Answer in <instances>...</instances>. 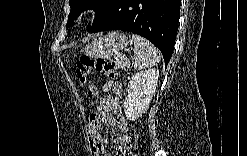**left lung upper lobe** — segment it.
Wrapping results in <instances>:
<instances>
[{
    "label": "left lung upper lobe",
    "instance_id": "left-lung-upper-lobe-1",
    "mask_svg": "<svg viewBox=\"0 0 247 156\" xmlns=\"http://www.w3.org/2000/svg\"><path fill=\"white\" fill-rule=\"evenodd\" d=\"M115 0H69L71 11L68 15L69 22H72L82 11L94 9L96 12L92 26H88V31L100 21L109 11Z\"/></svg>",
    "mask_w": 247,
    "mask_h": 156
}]
</instances>
